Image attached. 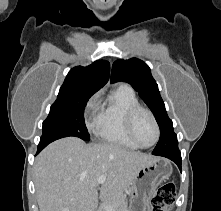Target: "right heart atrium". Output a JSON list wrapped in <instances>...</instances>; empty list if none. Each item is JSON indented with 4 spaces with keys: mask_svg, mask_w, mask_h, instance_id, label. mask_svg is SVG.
<instances>
[{
    "mask_svg": "<svg viewBox=\"0 0 221 211\" xmlns=\"http://www.w3.org/2000/svg\"><path fill=\"white\" fill-rule=\"evenodd\" d=\"M98 97L99 94L96 93L89 98L85 104L84 108V119L88 129L93 130L97 128L98 124Z\"/></svg>",
    "mask_w": 221,
    "mask_h": 211,
    "instance_id": "d8ad5b80",
    "label": "right heart atrium"
}]
</instances>
